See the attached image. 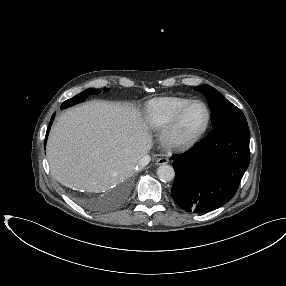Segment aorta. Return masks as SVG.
I'll use <instances>...</instances> for the list:
<instances>
[{
	"label": "aorta",
	"mask_w": 286,
	"mask_h": 286,
	"mask_svg": "<svg viewBox=\"0 0 286 286\" xmlns=\"http://www.w3.org/2000/svg\"><path fill=\"white\" fill-rule=\"evenodd\" d=\"M157 176L163 182H168L173 180L175 172L172 166L163 164L157 169Z\"/></svg>",
	"instance_id": "aorta-1"
}]
</instances>
